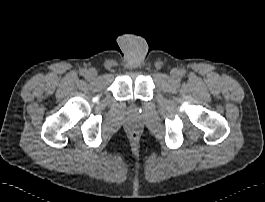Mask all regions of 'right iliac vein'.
I'll list each match as a JSON object with an SVG mask.
<instances>
[{
	"instance_id": "obj_1",
	"label": "right iliac vein",
	"mask_w": 265,
	"mask_h": 202,
	"mask_svg": "<svg viewBox=\"0 0 265 202\" xmlns=\"http://www.w3.org/2000/svg\"><path fill=\"white\" fill-rule=\"evenodd\" d=\"M96 77H97L96 71L95 70H90L87 79L89 81H94L96 79Z\"/></svg>"
}]
</instances>
